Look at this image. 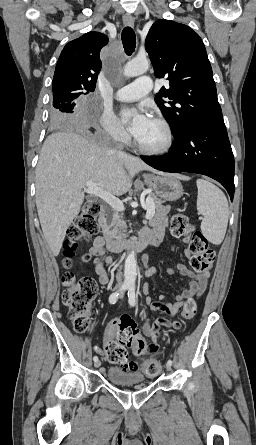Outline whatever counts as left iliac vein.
I'll list each match as a JSON object with an SVG mask.
<instances>
[{
    "mask_svg": "<svg viewBox=\"0 0 256 445\" xmlns=\"http://www.w3.org/2000/svg\"><path fill=\"white\" fill-rule=\"evenodd\" d=\"M166 369L169 371V370H171V365H166Z\"/></svg>",
    "mask_w": 256,
    "mask_h": 445,
    "instance_id": "1",
    "label": "left iliac vein"
}]
</instances>
